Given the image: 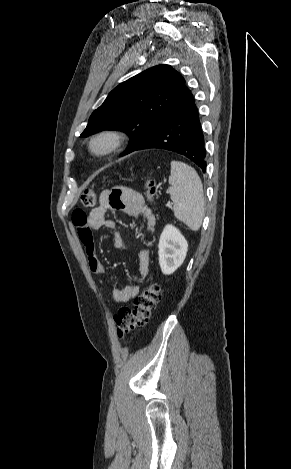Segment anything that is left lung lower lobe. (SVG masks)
Listing matches in <instances>:
<instances>
[{
	"instance_id": "1",
	"label": "left lung lower lobe",
	"mask_w": 291,
	"mask_h": 469,
	"mask_svg": "<svg viewBox=\"0 0 291 469\" xmlns=\"http://www.w3.org/2000/svg\"><path fill=\"white\" fill-rule=\"evenodd\" d=\"M148 148H162L179 153L193 161L203 172L206 171L204 135L190 90L146 138L128 153Z\"/></svg>"
}]
</instances>
